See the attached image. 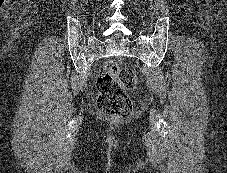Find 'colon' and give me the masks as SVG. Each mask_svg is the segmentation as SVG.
I'll list each match as a JSON object with an SVG mask.
<instances>
[{"label":"colon","mask_w":227,"mask_h":173,"mask_svg":"<svg viewBox=\"0 0 227 173\" xmlns=\"http://www.w3.org/2000/svg\"><path fill=\"white\" fill-rule=\"evenodd\" d=\"M138 78L134 70L107 61L97 78V105L102 114L118 117L130 115L133 109L128 91L136 88Z\"/></svg>","instance_id":"obj_1"}]
</instances>
